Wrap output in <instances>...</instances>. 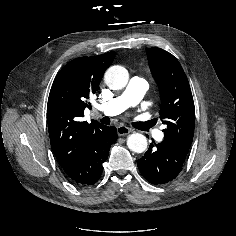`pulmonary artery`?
Returning a JSON list of instances; mask_svg holds the SVG:
<instances>
[{"mask_svg": "<svg viewBox=\"0 0 236 236\" xmlns=\"http://www.w3.org/2000/svg\"><path fill=\"white\" fill-rule=\"evenodd\" d=\"M148 88L149 85L145 79L134 76L129 80L121 95L100 106L99 109L108 116L118 115L127 108L136 105L143 98ZM155 138L160 140L162 138L161 132L158 131Z\"/></svg>", "mask_w": 236, "mask_h": 236, "instance_id": "e3ab8cb5", "label": "pulmonary artery"}]
</instances>
